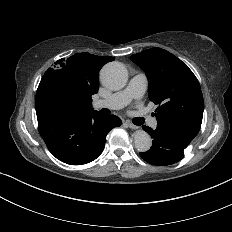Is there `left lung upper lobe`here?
Here are the masks:
<instances>
[{
	"instance_id": "1",
	"label": "left lung upper lobe",
	"mask_w": 232,
	"mask_h": 232,
	"mask_svg": "<svg viewBox=\"0 0 232 232\" xmlns=\"http://www.w3.org/2000/svg\"><path fill=\"white\" fill-rule=\"evenodd\" d=\"M130 58L147 75L149 99L159 104L154 113L157 127L190 143L200 130L204 108L200 84L193 72L161 48L147 49Z\"/></svg>"
}]
</instances>
